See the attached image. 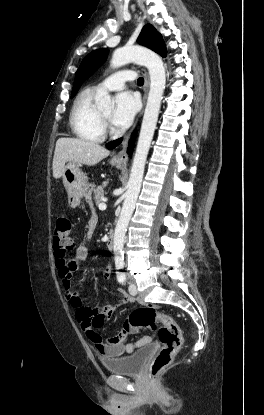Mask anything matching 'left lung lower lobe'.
Wrapping results in <instances>:
<instances>
[{"instance_id": "left-lung-lower-lobe-1", "label": "left lung lower lobe", "mask_w": 264, "mask_h": 415, "mask_svg": "<svg viewBox=\"0 0 264 415\" xmlns=\"http://www.w3.org/2000/svg\"><path fill=\"white\" fill-rule=\"evenodd\" d=\"M133 138L134 137H132V139L130 141V145H129V148H128V151H127L129 154H131V152H132ZM121 141H122V138L121 139H118V140H115V141H112V142L108 143L106 145V147L109 148V149H113L114 147H116L117 145H119L121 143Z\"/></svg>"}]
</instances>
